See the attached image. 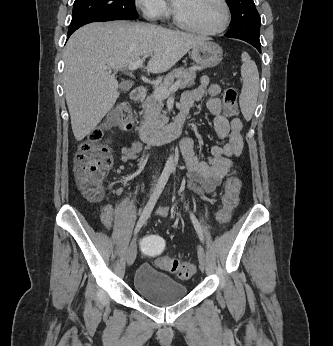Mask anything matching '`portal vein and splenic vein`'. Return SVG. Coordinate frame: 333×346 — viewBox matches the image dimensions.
Instances as JSON below:
<instances>
[{
	"instance_id": "portal-vein-and-splenic-vein-1",
	"label": "portal vein and splenic vein",
	"mask_w": 333,
	"mask_h": 346,
	"mask_svg": "<svg viewBox=\"0 0 333 346\" xmlns=\"http://www.w3.org/2000/svg\"><path fill=\"white\" fill-rule=\"evenodd\" d=\"M147 57H148V55H145L142 59L130 64L128 66V69L129 70H136V69L142 67V65H143V63ZM179 86H180L179 82H175L170 88H164V87L156 86L154 88V93L158 98L165 99V98L169 97V95L171 93H174L175 91H177Z\"/></svg>"
}]
</instances>
